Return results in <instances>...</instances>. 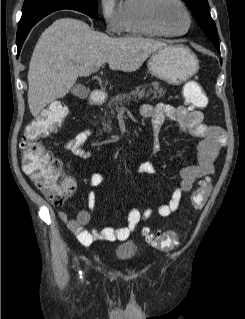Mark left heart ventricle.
Listing matches in <instances>:
<instances>
[{"instance_id":"left-heart-ventricle-1","label":"left heart ventricle","mask_w":245,"mask_h":319,"mask_svg":"<svg viewBox=\"0 0 245 319\" xmlns=\"http://www.w3.org/2000/svg\"><path fill=\"white\" fill-rule=\"evenodd\" d=\"M159 17L165 26L174 32L184 31L187 17L182 8L174 2H164L159 8Z\"/></svg>"}]
</instances>
